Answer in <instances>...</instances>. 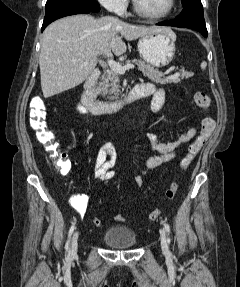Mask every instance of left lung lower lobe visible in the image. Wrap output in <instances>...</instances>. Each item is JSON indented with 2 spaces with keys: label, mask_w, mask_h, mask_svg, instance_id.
Wrapping results in <instances>:
<instances>
[{
  "label": "left lung lower lobe",
  "mask_w": 240,
  "mask_h": 287,
  "mask_svg": "<svg viewBox=\"0 0 240 287\" xmlns=\"http://www.w3.org/2000/svg\"><path fill=\"white\" fill-rule=\"evenodd\" d=\"M182 5L183 10L177 18L157 23V25L190 28L199 31L204 37H207L201 0H189Z\"/></svg>",
  "instance_id": "1"
}]
</instances>
